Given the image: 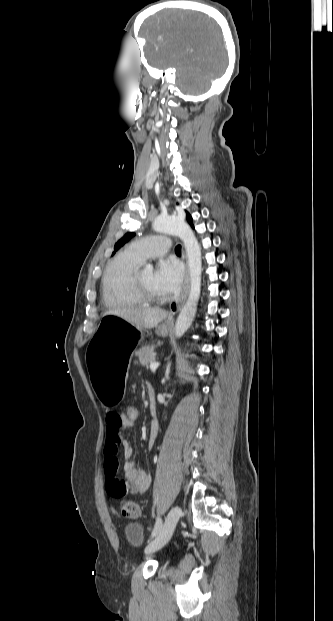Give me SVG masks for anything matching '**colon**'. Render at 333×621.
I'll return each mask as SVG.
<instances>
[{
	"label": "colon",
	"instance_id": "1",
	"mask_svg": "<svg viewBox=\"0 0 333 621\" xmlns=\"http://www.w3.org/2000/svg\"><path fill=\"white\" fill-rule=\"evenodd\" d=\"M123 415L128 423L134 424L139 418V409L133 403H126L123 408ZM120 511L122 515L128 519H136L140 515L138 505L127 499L120 502Z\"/></svg>",
	"mask_w": 333,
	"mask_h": 621
}]
</instances>
